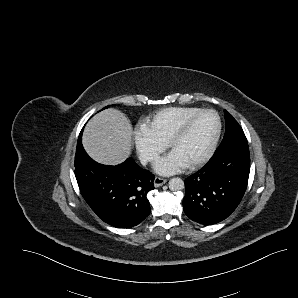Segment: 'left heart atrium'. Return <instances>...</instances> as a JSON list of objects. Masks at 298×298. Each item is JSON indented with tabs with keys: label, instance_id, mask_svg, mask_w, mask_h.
Returning <instances> with one entry per match:
<instances>
[{
	"label": "left heart atrium",
	"instance_id": "obj_1",
	"mask_svg": "<svg viewBox=\"0 0 298 298\" xmlns=\"http://www.w3.org/2000/svg\"><path fill=\"white\" fill-rule=\"evenodd\" d=\"M187 165L177 156L169 153L153 161L154 170L161 175H172L184 169Z\"/></svg>",
	"mask_w": 298,
	"mask_h": 298
}]
</instances>
